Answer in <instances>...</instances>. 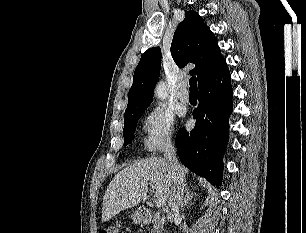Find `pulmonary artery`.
I'll return each mask as SVG.
<instances>
[{
  "instance_id": "obj_1",
  "label": "pulmonary artery",
  "mask_w": 306,
  "mask_h": 233,
  "mask_svg": "<svg viewBox=\"0 0 306 233\" xmlns=\"http://www.w3.org/2000/svg\"><path fill=\"white\" fill-rule=\"evenodd\" d=\"M178 98L183 103H188L189 102L190 95H189V93L187 91V84L186 83H184L182 85V88H181V90L178 93Z\"/></svg>"
}]
</instances>
